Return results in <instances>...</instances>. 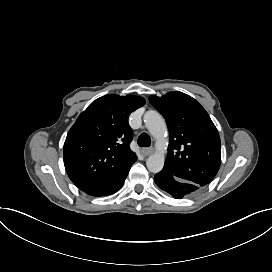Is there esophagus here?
<instances>
[{"label": "esophagus", "instance_id": "1", "mask_svg": "<svg viewBox=\"0 0 272 272\" xmlns=\"http://www.w3.org/2000/svg\"><path fill=\"white\" fill-rule=\"evenodd\" d=\"M141 152H142L144 155L148 156V155L152 154V153L154 152V150H153L152 148H143V149L141 150Z\"/></svg>", "mask_w": 272, "mask_h": 272}]
</instances>
